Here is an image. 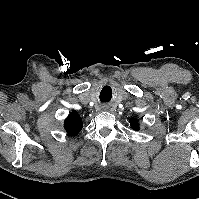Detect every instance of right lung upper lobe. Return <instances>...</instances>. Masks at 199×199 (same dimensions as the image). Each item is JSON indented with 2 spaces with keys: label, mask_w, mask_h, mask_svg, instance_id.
I'll list each match as a JSON object with an SVG mask.
<instances>
[{
  "label": "right lung upper lobe",
  "mask_w": 199,
  "mask_h": 199,
  "mask_svg": "<svg viewBox=\"0 0 199 199\" xmlns=\"http://www.w3.org/2000/svg\"><path fill=\"white\" fill-rule=\"evenodd\" d=\"M64 128L69 135H77L82 129V118L76 111H72L64 122Z\"/></svg>",
  "instance_id": "1"
}]
</instances>
